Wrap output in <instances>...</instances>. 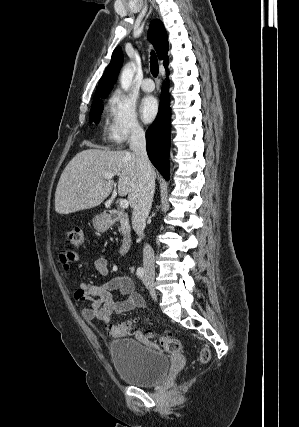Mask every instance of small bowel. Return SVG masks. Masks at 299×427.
<instances>
[{"label": "small bowel", "instance_id": "1", "mask_svg": "<svg viewBox=\"0 0 299 427\" xmlns=\"http://www.w3.org/2000/svg\"><path fill=\"white\" fill-rule=\"evenodd\" d=\"M60 262L63 269L69 272L79 262V255L66 248L60 254ZM94 265L100 275L108 274V260L105 255H100ZM113 292H118L125 298L115 300ZM74 299L88 303V306L81 309L82 317L85 320H98L104 324H108L114 316L144 307V301L135 291L133 281L126 276H116L102 284L80 281L74 292ZM136 336L146 339L142 331H138Z\"/></svg>", "mask_w": 299, "mask_h": 427}]
</instances>
